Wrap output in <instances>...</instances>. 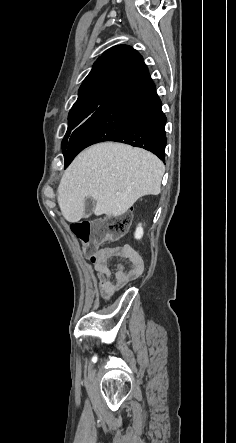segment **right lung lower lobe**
Returning <instances> with one entry per match:
<instances>
[{"label": "right lung lower lobe", "instance_id": "1", "mask_svg": "<svg viewBox=\"0 0 236 443\" xmlns=\"http://www.w3.org/2000/svg\"><path fill=\"white\" fill-rule=\"evenodd\" d=\"M166 121L161 100L147 72L132 86L110 95L78 128L63 151L65 168L82 149L102 141L141 147L164 161Z\"/></svg>", "mask_w": 236, "mask_h": 443}]
</instances>
